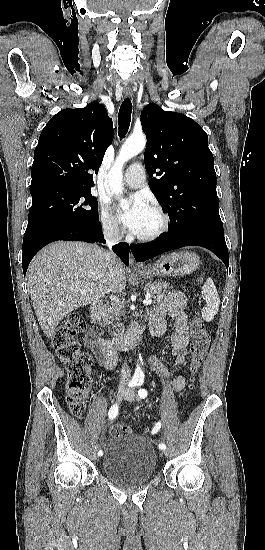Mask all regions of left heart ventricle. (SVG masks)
Segmentation results:
<instances>
[{
  "mask_svg": "<svg viewBox=\"0 0 265 550\" xmlns=\"http://www.w3.org/2000/svg\"><path fill=\"white\" fill-rule=\"evenodd\" d=\"M160 224L159 217L150 209L144 219L141 222V225L136 234H147L154 231Z\"/></svg>",
  "mask_w": 265,
  "mask_h": 550,
  "instance_id": "1",
  "label": "left heart ventricle"
}]
</instances>
